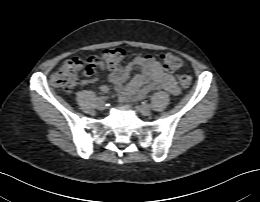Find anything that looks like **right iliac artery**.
Masks as SVG:
<instances>
[{
    "instance_id": "obj_1",
    "label": "right iliac artery",
    "mask_w": 260,
    "mask_h": 202,
    "mask_svg": "<svg viewBox=\"0 0 260 202\" xmlns=\"http://www.w3.org/2000/svg\"><path fill=\"white\" fill-rule=\"evenodd\" d=\"M103 99H104L103 96H100V97L98 98L99 101H102Z\"/></svg>"
}]
</instances>
